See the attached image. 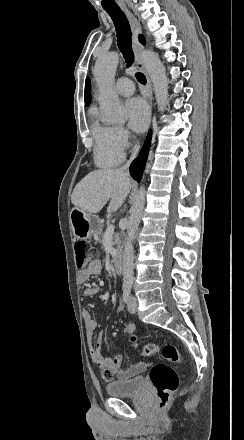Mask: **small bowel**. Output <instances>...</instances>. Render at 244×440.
<instances>
[{
    "instance_id": "obj_1",
    "label": "small bowel",
    "mask_w": 244,
    "mask_h": 440,
    "mask_svg": "<svg viewBox=\"0 0 244 440\" xmlns=\"http://www.w3.org/2000/svg\"><path fill=\"white\" fill-rule=\"evenodd\" d=\"M101 271L100 260H93L90 264L82 269L79 273V278L82 283H87L91 278L98 275ZM99 289L97 286H89L85 289L84 295L86 297H93L98 293ZM83 318L86 325L87 337L90 340L97 329V321L92 318L88 312L83 313ZM102 344L103 337L99 335L95 346L90 347V356L92 361L99 367L109 370L113 375H115L119 380L126 381L143 374L148 365L146 362L139 361L131 366H125V357L123 355H118L115 358H108L102 355Z\"/></svg>"
}]
</instances>
